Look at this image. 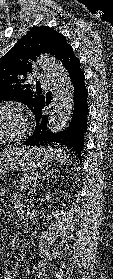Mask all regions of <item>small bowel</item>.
<instances>
[{
	"label": "small bowel",
	"mask_w": 113,
	"mask_h": 279,
	"mask_svg": "<svg viewBox=\"0 0 113 279\" xmlns=\"http://www.w3.org/2000/svg\"><path fill=\"white\" fill-rule=\"evenodd\" d=\"M4 194V189L0 188V196H2ZM19 203L18 201V196L15 195V204ZM3 279H15L16 278V273L13 270H8L4 273Z\"/></svg>",
	"instance_id": "small-bowel-1"
}]
</instances>
